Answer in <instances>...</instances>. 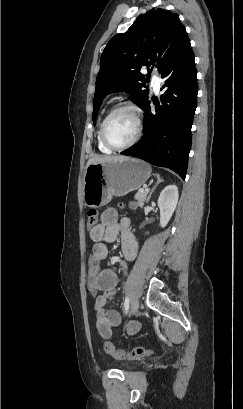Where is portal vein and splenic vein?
I'll return each mask as SVG.
<instances>
[{
	"label": "portal vein and splenic vein",
	"instance_id": "portal-vein-and-splenic-vein-1",
	"mask_svg": "<svg viewBox=\"0 0 243 409\" xmlns=\"http://www.w3.org/2000/svg\"><path fill=\"white\" fill-rule=\"evenodd\" d=\"M148 191H149V189H148V188H146V189H145V192H148Z\"/></svg>",
	"mask_w": 243,
	"mask_h": 409
}]
</instances>
